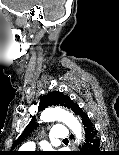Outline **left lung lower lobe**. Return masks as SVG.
<instances>
[{
  "mask_svg": "<svg viewBox=\"0 0 119 155\" xmlns=\"http://www.w3.org/2000/svg\"><path fill=\"white\" fill-rule=\"evenodd\" d=\"M74 113L80 118L85 132L82 150L75 155H102L100 153V139L94 124L78 105L75 106Z\"/></svg>",
  "mask_w": 119,
  "mask_h": 155,
  "instance_id": "obj_1",
  "label": "left lung lower lobe"
}]
</instances>
